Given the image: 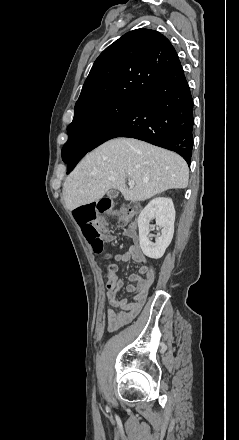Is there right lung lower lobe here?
Segmentation results:
<instances>
[{
	"mask_svg": "<svg viewBox=\"0 0 239 440\" xmlns=\"http://www.w3.org/2000/svg\"><path fill=\"white\" fill-rule=\"evenodd\" d=\"M193 100L181 63L144 94L137 97L123 116L102 132L85 150L62 151L67 173L84 155L116 137H131L175 151L188 165L193 147Z\"/></svg>",
	"mask_w": 239,
	"mask_h": 440,
	"instance_id": "1",
	"label": "right lung lower lobe"
}]
</instances>
